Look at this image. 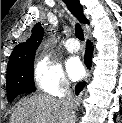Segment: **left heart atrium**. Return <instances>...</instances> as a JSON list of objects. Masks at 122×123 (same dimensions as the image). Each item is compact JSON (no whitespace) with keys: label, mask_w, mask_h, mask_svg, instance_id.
I'll list each match as a JSON object with an SVG mask.
<instances>
[{"label":"left heart atrium","mask_w":122,"mask_h":123,"mask_svg":"<svg viewBox=\"0 0 122 123\" xmlns=\"http://www.w3.org/2000/svg\"><path fill=\"white\" fill-rule=\"evenodd\" d=\"M69 77L72 80H78L84 75V67L78 57H71L66 63Z\"/></svg>","instance_id":"39dd6f15"}]
</instances>
